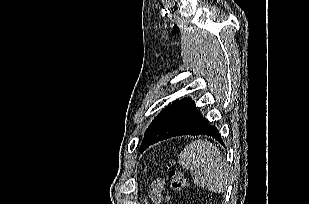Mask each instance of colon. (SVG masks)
Returning <instances> with one entry per match:
<instances>
[{
    "label": "colon",
    "instance_id": "5ec220e1",
    "mask_svg": "<svg viewBox=\"0 0 309 204\" xmlns=\"http://www.w3.org/2000/svg\"><path fill=\"white\" fill-rule=\"evenodd\" d=\"M169 168L170 189L173 193H179L185 186V176L182 170L177 168L173 162H167Z\"/></svg>",
    "mask_w": 309,
    "mask_h": 204
}]
</instances>
